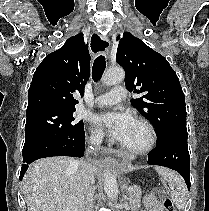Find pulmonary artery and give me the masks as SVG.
<instances>
[{"label":"pulmonary artery","mask_w":209,"mask_h":211,"mask_svg":"<svg viewBox=\"0 0 209 211\" xmlns=\"http://www.w3.org/2000/svg\"><path fill=\"white\" fill-rule=\"evenodd\" d=\"M126 97V89L123 86H116L110 92L102 94L95 98L94 104L97 106L114 105Z\"/></svg>","instance_id":"e3ab8cb5"}]
</instances>
